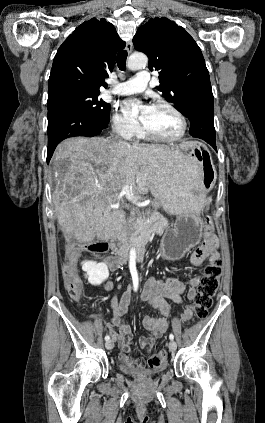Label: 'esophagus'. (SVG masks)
<instances>
[{
	"label": "esophagus",
	"instance_id": "esophagus-1",
	"mask_svg": "<svg viewBox=\"0 0 265 423\" xmlns=\"http://www.w3.org/2000/svg\"><path fill=\"white\" fill-rule=\"evenodd\" d=\"M132 48H133L132 42L128 41L127 44H126V50L129 54L132 52Z\"/></svg>",
	"mask_w": 265,
	"mask_h": 423
}]
</instances>
